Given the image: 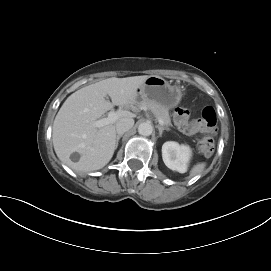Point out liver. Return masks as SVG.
I'll list each match as a JSON object with an SVG mask.
<instances>
[{"label": "liver", "mask_w": 271, "mask_h": 271, "mask_svg": "<svg viewBox=\"0 0 271 271\" xmlns=\"http://www.w3.org/2000/svg\"><path fill=\"white\" fill-rule=\"evenodd\" d=\"M148 77H112L71 94L53 123V146L60 161L78 172L103 168L116 149V123L122 118H132L134 114L123 111L115 122L101 128L93 126V122L115 105L132 108L137 103L139 87ZM106 95L112 102L105 99ZM74 152L80 154L77 162L70 159Z\"/></svg>", "instance_id": "liver-1"}]
</instances>
